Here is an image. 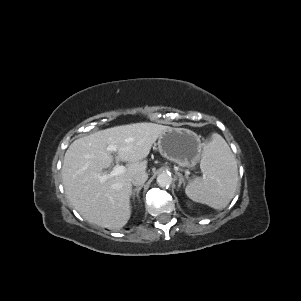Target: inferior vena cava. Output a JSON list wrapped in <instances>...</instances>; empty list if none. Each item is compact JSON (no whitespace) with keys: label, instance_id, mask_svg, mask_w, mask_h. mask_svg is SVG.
<instances>
[{"label":"inferior vena cava","instance_id":"1","mask_svg":"<svg viewBox=\"0 0 301 301\" xmlns=\"http://www.w3.org/2000/svg\"><path fill=\"white\" fill-rule=\"evenodd\" d=\"M148 179V174L145 170L138 171L133 177H132V184L135 186H141L143 185L146 180Z\"/></svg>","mask_w":301,"mask_h":301}]
</instances>
